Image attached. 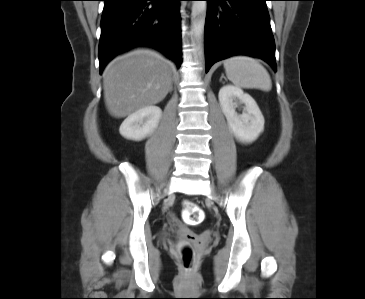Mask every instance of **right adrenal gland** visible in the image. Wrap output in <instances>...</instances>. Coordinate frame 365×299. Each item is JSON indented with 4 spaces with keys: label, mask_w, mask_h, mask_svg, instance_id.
<instances>
[{
    "label": "right adrenal gland",
    "mask_w": 365,
    "mask_h": 299,
    "mask_svg": "<svg viewBox=\"0 0 365 299\" xmlns=\"http://www.w3.org/2000/svg\"><path fill=\"white\" fill-rule=\"evenodd\" d=\"M170 91H173V86H171V89H170Z\"/></svg>",
    "instance_id": "2a0ac1e0"
}]
</instances>
